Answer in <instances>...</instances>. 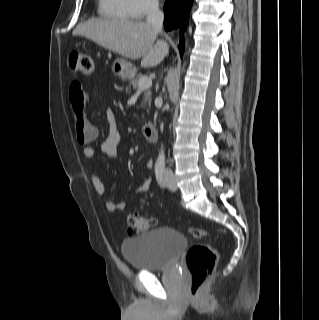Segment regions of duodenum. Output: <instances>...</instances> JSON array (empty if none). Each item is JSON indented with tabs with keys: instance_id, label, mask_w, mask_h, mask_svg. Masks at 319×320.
Instances as JSON below:
<instances>
[{
	"instance_id": "obj_1",
	"label": "duodenum",
	"mask_w": 319,
	"mask_h": 320,
	"mask_svg": "<svg viewBox=\"0 0 319 320\" xmlns=\"http://www.w3.org/2000/svg\"><path fill=\"white\" fill-rule=\"evenodd\" d=\"M143 134H144L145 138L147 139V141H149V142H156L157 141L158 133H157L156 126L154 124H152V123L145 124L143 126Z\"/></svg>"
}]
</instances>
